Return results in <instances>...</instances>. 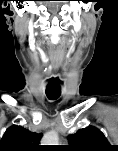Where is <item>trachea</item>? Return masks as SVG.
Returning <instances> with one entry per match:
<instances>
[{"label": "trachea", "instance_id": "obj_1", "mask_svg": "<svg viewBox=\"0 0 118 151\" xmlns=\"http://www.w3.org/2000/svg\"><path fill=\"white\" fill-rule=\"evenodd\" d=\"M48 97H49V99H53L55 97V95H50Z\"/></svg>", "mask_w": 118, "mask_h": 151}]
</instances>
